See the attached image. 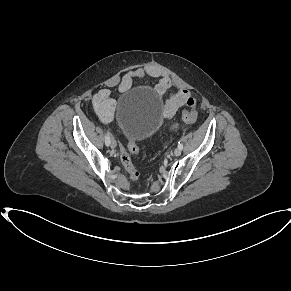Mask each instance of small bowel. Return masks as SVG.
<instances>
[{
  "instance_id": "small-bowel-1",
  "label": "small bowel",
  "mask_w": 291,
  "mask_h": 291,
  "mask_svg": "<svg viewBox=\"0 0 291 291\" xmlns=\"http://www.w3.org/2000/svg\"><path fill=\"white\" fill-rule=\"evenodd\" d=\"M146 76L158 79L155 86V92L158 97H162L171 86V80L167 74L163 73L154 65H148L127 72L119 83V91H127L135 80L143 79ZM189 97L190 92L185 89H178L170 93L163 109V117L165 119L172 118L178 108L185 104ZM92 103L98 119L103 124L110 123L113 120L115 113V101L112 98L111 91L109 89H100L94 95Z\"/></svg>"
}]
</instances>
